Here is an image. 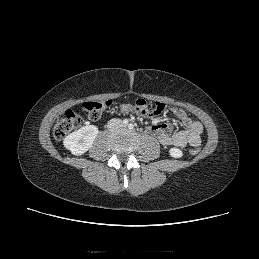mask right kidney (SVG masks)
<instances>
[{"instance_id":"right-kidney-1","label":"right kidney","mask_w":259,"mask_h":259,"mask_svg":"<svg viewBox=\"0 0 259 259\" xmlns=\"http://www.w3.org/2000/svg\"><path fill=\"white\" fill-rule=\"evenodd\" d=\"M99 130L94 125L81 127L64 138V146L74 155H82L87 152L97 137Z\"/></svg>"}]
</instances>
